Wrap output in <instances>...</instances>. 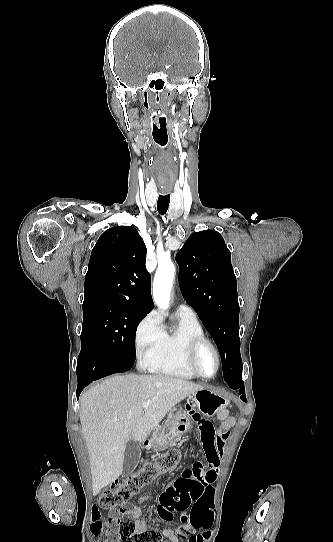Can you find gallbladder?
Listing matches in <instances>:
<instances>
[{"label": "gallbladder", "mask_w": 333, "mask_h": 542, "mask_svg": "<svg viewBox=\"0 0 333 542\" xmlns=\"http://www.w3.org/2000/svg\"><path fill=\"white\" fill-rule=\"evenodd\" d=\"M140 456H141L140 446H138L136 442H133V440H130L124 452L123 470L121 474L123 478H127V476H130V474L134 472L140 460Z\"/></svg>", "instance_id": "obj_1"}]
</instances>
